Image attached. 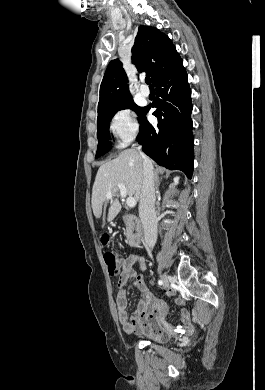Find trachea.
<instances>
[{"instance_id": "1", "label": "trachea", "mask_w": 265, "mask_h": 390, "mask_svg": "<svg viewBox=\"0 0 265 390\" xmlns=\"http://www.w3.org/2000/svg\"><path fill=\"white\" fill-rule=\"evenodd\" d=\"M145 82H146L150 87H152V85H151V78H150V77H146V78H145Z\"/></svg>"}]
</instances>
